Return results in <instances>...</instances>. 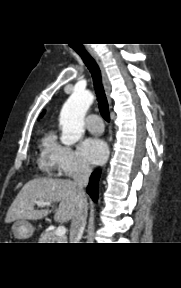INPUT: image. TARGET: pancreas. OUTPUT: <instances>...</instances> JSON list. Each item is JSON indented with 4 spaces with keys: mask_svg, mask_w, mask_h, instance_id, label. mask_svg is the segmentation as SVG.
Here are the masks:
<instances>
[{
    "mask_svg": "<svg viewBox=\"0 0 181 288\" xmlns=\"http://www.w3.org/2000/svg\"><path fill=\"white\" fill-rule=\"evenodd\" d=\"M40 243H65L66 238L60 237L55 234L54 231L44 232L39 238Z\"/></svg>",
    "mask_w": 181,
    "mask_h": 288,
    "instance_id": "cf45deb5",
    "label": "pancreas"
}]
</instances>
